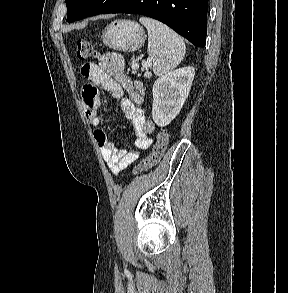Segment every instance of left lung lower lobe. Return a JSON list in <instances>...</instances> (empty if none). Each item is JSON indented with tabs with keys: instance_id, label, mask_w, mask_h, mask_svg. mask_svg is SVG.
I'll list each match as a JSON object with an SVG mask.
<instances>
[{
	"instance_id": "obj_1",
	"label": "left lung lower lobe",
	"mask_w": 288,
	"mask_h": 293,
	"mask_svg": "<svg viewBox=\"0 0 288 293\" xmlns=\"http://www.w3.org/2000/svg\"><path fill=\"white\" fill-rule=\"evenodd\" d=\"M208 0H118L102 14L133 13L168 25L197 47L206 42Z\"/></svg>"
}]
</instances>
